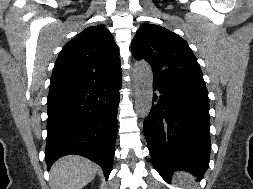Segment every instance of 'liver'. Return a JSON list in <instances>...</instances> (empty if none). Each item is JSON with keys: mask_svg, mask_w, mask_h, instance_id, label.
<instances>
[{"mask_svg": "<svg viewBox=\"0 0 253 189\" xmlns=\"http://www.w3.org/2000/svg\"><path fill=\"white\" fill-rule=\"evenodd\" d=\"M97 166L81 156H65L56 161L51 169L53 189H82L91 182Z\"/></svg>", "mask_w": 253, "mask_h": 189, "instance_id": "obj_1", "label": "liver"}]
</instances>
